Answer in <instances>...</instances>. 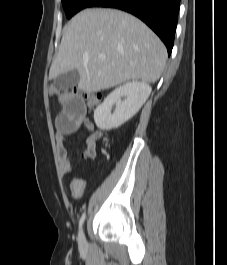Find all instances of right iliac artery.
<instances>
[{
    "label": "right iliac artery",
    "mask_w": 227,
    "mask_h": 265,
    "mask_svg": "<svg viewBox=\"0 0 227 265\" xmlns=\"http://www.w3.org/2000/svg\"><path fill=\"white\" fill-rule=\"evenodd\" d=\"M84 220H85V213L82 214L81 218H80V221H79V228L82 227L83 223H84Z\"/></svg>",
    "instance_id": "82829eb1"
}]
</instances>
